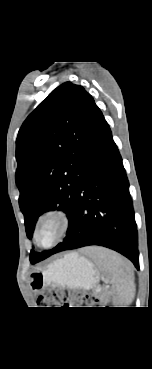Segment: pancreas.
<instances>
[{
    "mask_svg": "<svg viewBox=\"0 0 152 369\" xmlns=\"http://www.w3.org/2000/svg\"><path fill=\"white\" fill-rule=\"evenodd\" d=\"M95 296H98V293L97 292H95Z\"/></svg>",
    "mask_w": 152,
    "mask_h": 369,
    "instance_id": "pancreas-1",
    "label": "pancreas"
}]
</instances>
